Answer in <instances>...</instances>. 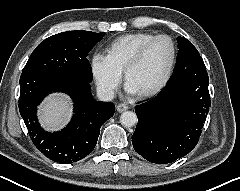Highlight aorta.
I'll return each instance as SVG.
<instances>
[{"label": "aorta", "instance_id": "1", "mask_svg": "<svg viewBox=\"0 0 240 191\" xmlns=\"http://www.w3.org/2000/svg\"><path fill=\"white\" fill-rule=\"evenodd\" d=\"M137 121V115L133 111H125L120 116V123L125 127H132Z\"/></svg>", "mask_w": 240, "mask_h": 191}]
</instances>
